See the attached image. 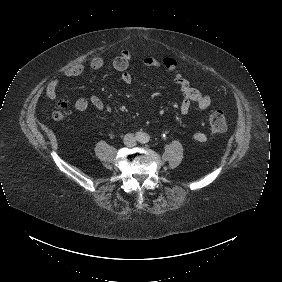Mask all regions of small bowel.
<instances>
[{
  "label": "small bowel",
  "instance_id": "obj_1",
  "mask_svg": "<svg viewBox=\"0 0 282 282\" xmlns=\"http://www.w3.org/2000/svg\"><path fill=\"white\" fill-rule=\"evenodd\" d=\"M132 55L130 51L124 50L113 61V67L121 72L120 82L122 84H130L133 80L132 75L128 72V66L131 61ZM143 64L146 67L158 69L160 63L154 57H146L143 60ZM90 68L92 70H99L104 66V59L101 57H94L90 61ZM86 67L84 64H76L70 68L62 71L58 76L52 78L46 86V95L49 99H55L57 96V89L62 80L71 77H77L84 73ZM182 94V101L179 105V111L181 114H187L192 104H196L199 109L205 110L211 105V98L200 92L193 87L187 79L183 81L175 80ZM74 107L78 111H84L89 107H93L97 110L100 116H103L106 111L105 102L98 96H91L88 98H79L74 102ZM115 127V125H112ZM194 141L198 143H205L207 141V135L202 131H196L193 134Z\"/></svg>",
  "mask_w": 282,
  "mask_h": 282
}]
</instances>
